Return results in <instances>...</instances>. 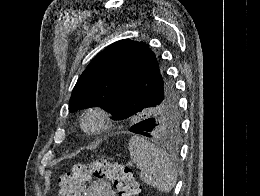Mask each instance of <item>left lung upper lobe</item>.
Listing matches in <instances>:
<instances>
[{
	"instance_id": "5c2ea615",
	"label": "left lung upper lobe",
	"mask_w": 260,
	"mask_h": 196,
	"mask_svg": "<svg viewBox=\"0 0 260 196\" xmlns=\"http://www.w3.org/2000/svg\"><path fill=\"white\" fill-rule=\"evenodd\" d=\"M101 107L134 110L127 122H155L153 136L169 146L182 138V119L172 81L145 43L120 40L100 52L79 77L69 111Z\"/></svg>"
}]
</instances>
